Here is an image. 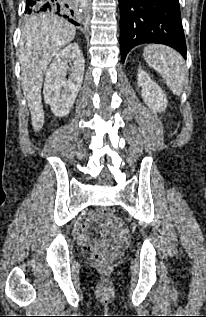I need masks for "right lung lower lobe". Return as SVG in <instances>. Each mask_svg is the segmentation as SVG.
Masks as SVG:
<instances>
[{
  "instance_id": "98d812e1",
  "label": "right lung lower lobe",
  "mask_w": 206,
  "mask_h": 317,
  "mask_svg": "<svg viewBox=\"0 0 206 317\" xmlns=\"http://www.w3.org/2000/svg\"><path fill=\"white\" fill-rule=\"evenodd\" d=\"M71 1L72 0H26L25 13L33 14L52 11L62 15L64 18L68 19V21L77 26H83L72 18L74 11L70 9Z\"/></svg>"
}]
</instances>
